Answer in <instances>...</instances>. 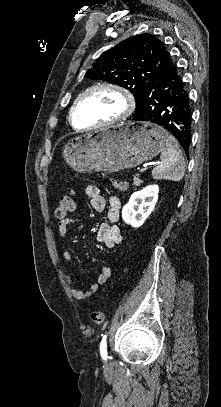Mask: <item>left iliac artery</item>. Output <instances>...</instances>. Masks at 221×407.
Masks as SVG:
<instances>
[{
  "instance_id": "44dca946",
  "label": "left iliac artery",
  "mask_w": 221,
  "mask_h": 407,
  "mask_svg": "<svg viewBox=\"0 0 221 407\" xmlns=\"http://www.w3.org/2000/svg\"><path fill=\"white\" fill-rule=\"evenodd\" d=\"M106 338L107 335H104L102 338V341L100 343V353H101V357L104 360H107V344H106Z\"/></svg>"
}]
</instances>
